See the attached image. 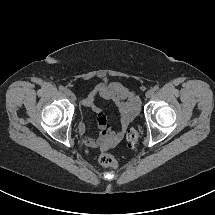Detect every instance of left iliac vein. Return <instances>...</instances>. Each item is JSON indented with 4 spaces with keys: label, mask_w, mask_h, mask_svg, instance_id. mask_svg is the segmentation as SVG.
Masks as SVG:
<instances>
[{
    "label": "left iliac vein",
    "mask_w": 215,
    "mask_h": 215,
    "mask_svg": "<svg viewBox=\"0 0 215 215\" xmlns=\"http://www.w3.org/2000/svg\"><path fill=\"white\" fill-rule=\"evenodd\" d=\"M154 94V91L152 89L148 90L146 93V97L150 98Z\"/></svg>",
    "instance_id": "1"
}]
</instances>
